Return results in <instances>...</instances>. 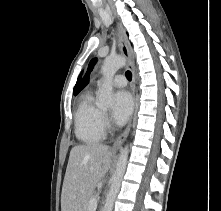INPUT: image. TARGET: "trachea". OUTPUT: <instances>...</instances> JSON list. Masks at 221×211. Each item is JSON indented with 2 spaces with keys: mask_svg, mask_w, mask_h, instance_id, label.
Here are the masks:
<instances>
[{
  "mask_svg": "<svg viewBox=\"0 0 221 211\" xmlns=\"http://www.w3.org/2000/svg\"><path fill=\"white\" fill-rule=\"evenodd\" d=\"M125 75H126V78H127L129 81L132 80V73H131L130 71H126Z\"/></svg>",
  "mask_w": 221,
  "mask_h": 211,
  "instance_id": "1",
  "label": "trachea"
}]
</instances>
